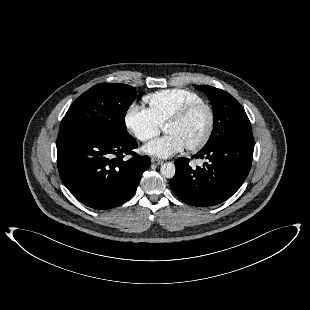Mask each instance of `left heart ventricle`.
Wrapping results in <instances>:
<instances>
[{"label":"left heart ventricle","instance_id":"left-heart-ventricle-1","mask_svg":"<svg viewBox=\"0 0 310 310\" xmlns=\"http://www.w3.org/2000/svg\"><path fill=\"white\" fill-rule=\"evenodd\" d=\"M208 126V113L205 109H199L186 120L178 124L167 125L165 133L176 135L184 144V147L198 142L204 135Z\"/></svg>","mask_w":310,"mask_h":310}]
</instances>
